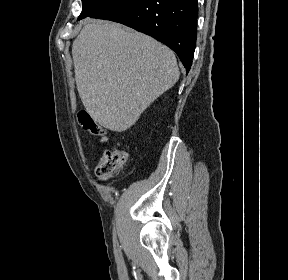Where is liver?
I'll list each match as a JSON object with an SVG mask.
<instances>
[{
	"mask_svg": "<svg viewBox=\"0 0 288 280\" xmlns=\"http://www.w3.org/2000/svg\"><path fill=\"white\" fill-rule=\"evenodd\" d=\"M77 90L103 127L125 131L179 79L174 53L155 39L109 21H91L72 45Z\"/></svg>",
	"mask_w": 288,
	"mask_h": 280,
	"instance_id": "obj_1",
	"label": "liver"
}]
</instances>
